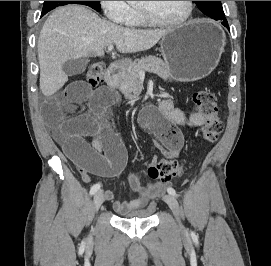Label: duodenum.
I'll return each instance as SVG.
<instances>
[{"mask_svg": "<svg viewBox=\"0 0 271 266\" xmlns=\"http://www.w3.org/2000/svg\"><path fill=\"white\" fill-rule=\"evenodd\" d=\"M123 74V63L121 61L112 62L105 74L106 84L110 88H116Z\"/></svg>", "mask_w": 271, "mask_h": 266, "instance_id": "obj_1", "label": "duodenum"}]
</instances>
